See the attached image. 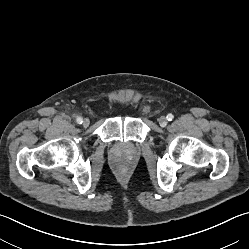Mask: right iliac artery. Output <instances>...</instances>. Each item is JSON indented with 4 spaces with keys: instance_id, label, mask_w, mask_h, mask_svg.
<instances>
[{
    "instance_id": "82829eb1",
    "label": "right iliac artery",
    "mask_w": 249,
    "mask_h": 249,
    "mask_svg": "<svg viewBox=\"0 0 249 249\" xmlns=\"http://www.w3.org/2000/svg\"><path fill=\"white\" fill-rule=\"evenodd\" d=\"M76 122H77L78 124H82L83 119H82L81 117H78V118L76 119Z\"/></svg>"
}]
</instances>
